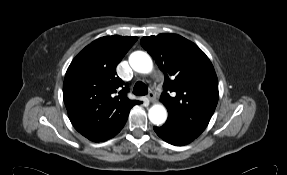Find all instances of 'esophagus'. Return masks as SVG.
<instances>
[{
	"mask_svg": "<svg viewBox=\"0 0 287 175\" xmlns=\"http://www.w3.org/2000/svg\"><path fill=\"white\" fill-rule=\"evenodd\" d=\"M148 99H149L151 102H155L156 96H155V94H154L152 91H150V92L148 93Z\"/></svg>",
	"mask_w": 287,
	"mask_h": 175,
	"instance_id": "obj_1",
	"label": "esophagus"
}]
</instances>
